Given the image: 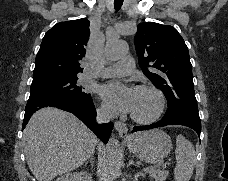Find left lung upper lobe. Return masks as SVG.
<instances>
[{
  "label": "left lung upper lobe",
  "mask_w": 228,
  "mask_h": 181,
  "mask_svg": "<svg viewBox=\"0 0 228 181\" xmlns=\"http://www.w3.org/2000/svg\"><path fill=\"white\" fill-rule=\"evenodd\" d=\"M135 48L143 73L166 96L168 109L161 121L201 126L189 52L178 31L170 25L141 23Z\"/></svg>",
  "instance_id": "obj_1"
}]
</instances>
